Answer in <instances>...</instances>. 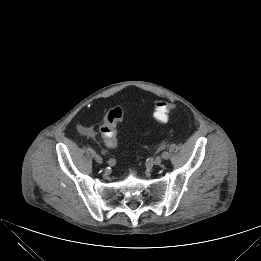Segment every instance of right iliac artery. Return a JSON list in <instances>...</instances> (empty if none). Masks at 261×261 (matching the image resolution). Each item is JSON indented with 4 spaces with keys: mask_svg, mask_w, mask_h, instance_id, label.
<instances>
[{
    "mask_svg": "<svg viewBox=\"0 0 261 261\" xmlns=\"http://www.w3.org/2000/svg\"><path fill=\"white\" fill-rule=\"evenodd\" d=\"M107 163H108L109 165H115L116 161H115V159L110 158V159L107 161Z\"/></svg>",
    "mask_w": 261,
    "mask_h": 261,
    "instance_id": "1",
    "label": "right iliac artery"
}]
</instances>
